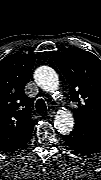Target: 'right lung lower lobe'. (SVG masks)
<instances>
[{
  "label": "right lung lower lobe",
  "instance_id": "obj_1",
  "mask_svg": "<svg viewBox=\"0 0 101 180\" xmlns=\"http://www.w3.org/2000/svg\"><path fill=\"white\" fill-rule=\"evenodd\" d=\"M33 132V131H32ZM32 132L28 134V137L24 138L22 142H20L17 147L15 149H12V150H8L6 152H10V153H13L21 148H23L25 145H27L30 140H31V137H32Z\"/></svg>",
  "mask_w": 101,
  "mask_h": 180
}]
</instances>
